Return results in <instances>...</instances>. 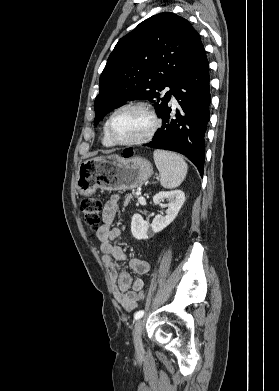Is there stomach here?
<instances>
[{
  "mask_svg": "<svg viewBox=\"0 0 279 391\" xmlns=\"http://www.w3.org/2000/svg\"><path fill=\"white\" fill-rule=\"evenodd\" d=\"M152 173L151 163L142 157H97L79 166L76 189L83 196H91L98 188L105 191L131 190L142 186Z\"/></svg>",
  "mask_w": 279,
  "mask_h": 391,
  "instance_id": "obj_1",
  "label": "stomach"
}]
</instances>
